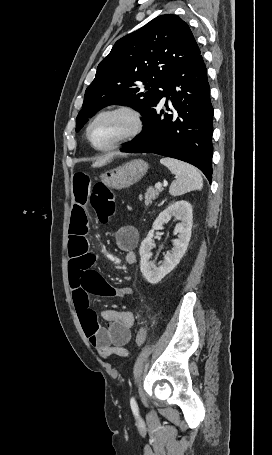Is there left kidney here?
<instances>
[{"instance_id": "left-kidney-1", "label": "left kidney", "mask_w": 272, "mask_h": 455, "mask_svg": "<svg viewBox=\"0 0 272 455\" xmlns=\"http://www.w3.org/2000/svg\"><path fill=\"white\" fill-rule=\"evenodd\" d=\"M174 216L181 222L176 224L174 234H178V239L173 241L171 253H167L164 261L159 267H155L150 258L151 250L154 246L153 234L155 230H161L163 224L168 222ZM192 206L189 202L181 200L168 206L162 211L153 223L152 229L148 232L147 237L142 241L140 254V270L145 279L151 284H157L168 273H170L184 256L191 237L192 229Z\"/></svg>"}]
</instances>
